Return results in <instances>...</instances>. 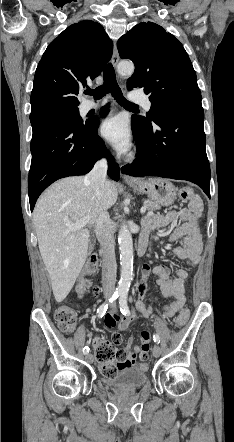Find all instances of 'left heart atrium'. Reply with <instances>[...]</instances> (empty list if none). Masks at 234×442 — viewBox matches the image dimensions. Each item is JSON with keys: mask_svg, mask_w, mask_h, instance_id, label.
Listing matches in <instances>:
<instances>
[{"mask_svg": "<svg viewBox=\"0 0 234 442\" xmlns=\"http://www.w3.org/2000/svg\"><path fill=\"white\" fill-rule=\"evenodd\" d=\"M100 133L119 153L129 150L131 135L124 117L117 115L106 118L102 122Z\"/></svg>", "mask_w": 234, "mask_h": 442, "instance_id": "1", "label": "left heart atrium"}]
</instances>
